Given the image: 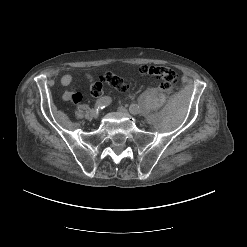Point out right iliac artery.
Listing matches in <instances>:
<instances>
[{
  "instance_id": "obj_1",
  "label": "right iliac artery",
  "mask_w": 247,
  "mask_h": 247,
  "mask_svg": "<svg viewBox=\"0 0 247 247\" xmlns=\"http://www.w3.org/2000/svg\"><path fill=\"white\" fill-rule=\"evenodd\" d=\"M112 102V99L108 96L101 97L98 99L95 103V110L98 112V110L105 108Z\"/></svg>"
}]
</instances>
